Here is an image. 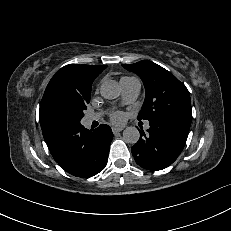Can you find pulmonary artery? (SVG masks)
Masks as SVG:
<instances>
[{"instance_id":"1","label":"pulmonary artery","mask_w":231,"mask_h":231,"mask_svg":"<svg viewBox=\"0 0 231 231\" xmlns=\"http://www.w3.org/2000/svg\"><path fill=\"white\" fill-rule=\"evenodd\" d=\"M120 87L122 90V102L125 104L135 101L140 93L141 82L136 77H123L120 80ZM101 117V113L88 114L85 117L86 124H90ZM149 128V124L145 125Z\"/></svg>"}]
</instances>
